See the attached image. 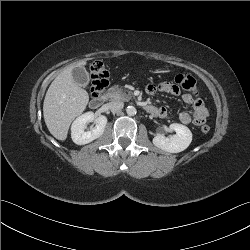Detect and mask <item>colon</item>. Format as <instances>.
I'll return each mask as SVG.
<instances>
[{
	"mask_svg": "<svg viewBox=\"0 0 250 250\" xmlns=\"http://www.w3.org/2000/svg\"><path fill=\"white\" fill-rule=\"evenodd\" d=\"M91 73V94L99 96L109 84V72L102 61H95L90 67ZM174 84L179 86L186 92L195 94L197 92L196 80L193 76L187 74H176L174 76ZM203 133H208L210 127L207 124L201 126Z\"/></svg>",
	"mask_w": 250,
	"mask_h": 250,
	"instance_id": "1",
	"label": "colon"
}]
</instances>
